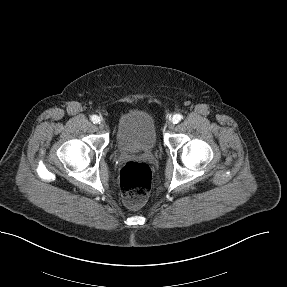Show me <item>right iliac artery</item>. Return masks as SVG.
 Segmentation results:
<instances>
[{"instance_id":"right-iliac-artery-1","label":"right iliac artery","mask_w":287,"mask_h":287,"mask_svg":"<svg viewBox=\"0 0 287 287\" xmlns=\"http://www.w3.org/2000/svg\"><path fill=\"white\" fill-rule=\"evenodd\" d=\"M91 121L93 123H98L100 121V118L97 115L91 116Z\"/></svg>"}]
</instances>
